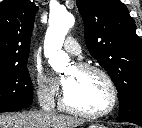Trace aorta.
Wrapping results in <instances>:
<instances>
[{
    "instance_id": "obj_1",
    "label": "aorta",
    "mask_w": 142,
    "mask_h": 128,
    "mask_svg": "<svg viewBox=\"0 0 142 128\" xmlns=\"http://www.w3.org/2000/svg\"><path fill=\"white\" fill-rule=\"evenodd\" d=\"M74 23V16L64 9L51 13L49 16V27L44 40V54L56 72L63 71L70 61L69 56L61 48Z\"/></svg>"
}]
</instances>
